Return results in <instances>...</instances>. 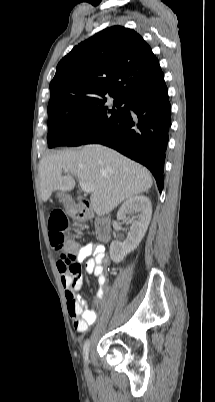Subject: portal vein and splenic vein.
I'll list each match as a JSON object with an SVG mask.
<instances>
[{"label":"portal vein and splenic vein","instance_id":"18ae733b","mask_svg":"<svg viewBox=\"0 0 215 402\" xmlns=\"http://www.w3.org/2000/svg\"><path fill=\"white\" fill-rule=\"evenodd\" d=\"M64 171L68 172L67 169H64ZM79 184L81 186V189L86 193H91L94 191V186L91 183L79 180Z\"/></svg>","mask_w":215,"mask_h":402}]
</instances>
